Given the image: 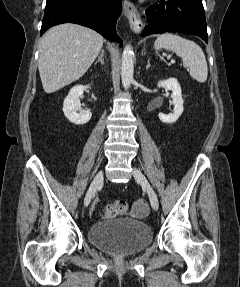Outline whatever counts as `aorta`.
Listing matches in <instances>:
<instances>
[{"label": "aorta", "instance_id": "1", "mask_svg": "<svg viewBox=\"0 0 240 287\" xmlns=\"http://www.w3.org/2000/svg\"><path fill=\"white\" fill-rule=\"evenodd\" d=\"M134 73V52L131 46H125L122 54L121 79L125 89L130 87Z\"/></svg>", "mask_w": 240, "mask_h": 287}]
</instances>
